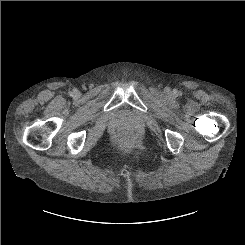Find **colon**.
<instances>
[{"mask_svg":"<svg viewBox=\"0 0 245 245\" xmlns=\"http://www.w3.org/2000/svg\"><path fill=\"white\" fill-rule=\"evenodd\" d=\"M117 138L121 142H127L130 140V134L127 129H121L117 135Z\"/></svg>","mask_w":245,"mask_h":245,"instance_id":"5ec220e1","label":"colon"}]
</instances>
